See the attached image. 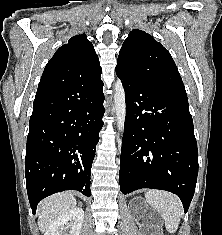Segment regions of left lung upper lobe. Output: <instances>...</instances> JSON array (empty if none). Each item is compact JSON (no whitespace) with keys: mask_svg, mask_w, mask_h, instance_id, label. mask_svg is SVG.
I'll use <instances>...</instances> for the list:
<instances>
[{"mask_svg":"<svg viewBox=\"0 0 222 235\" xmlns=\"http://www.w3.org/2000/svg\"><path fill=\"white\" fill-rule=\"evenodd\" d=\"M116 68L188 100L170 53L144 31L135 29L129 33L120 49Z\"/></svg>","mask_w":222,"mask_h":235,"instance_id":"left-lung-upper-lobe-1","label":"left lung upper lobe"}]
</instances>
